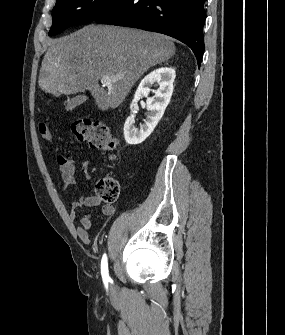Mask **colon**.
<instances>
[{
    "instance_id": "colon-1",
    "label": "colon",
    "mask_w": 285,
    "mask_h": 335,
    "mask_svg": "<svg viewBox=\"0 0 285 335\" xmlns=\"http://www.w3.org/2000/svg\"><path fill=\"white\" fill-rule=\"evenodd\" d=\"M39 132L44 140H52V133L46 123L39 124ZM71 133L76 141L87 142L92 148L109 153L111 159L115 158L118 143L106 124L79 119L72 124ZM95 191L101 201L113 204L119 198L120 185L114 177L105 176L97 181Z\"/></svg>"
}]
</instances>
